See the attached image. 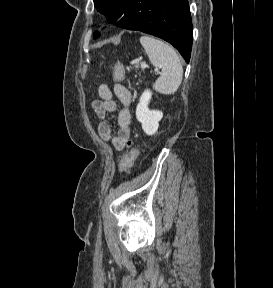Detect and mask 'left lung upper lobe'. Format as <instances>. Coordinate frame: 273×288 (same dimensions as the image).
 Wrapping results in <instances>:
<instances>
[{
  "label": "left lung upper lobe",
  "instance_id": "5c2ea615",
  "mask_svg": "<svg viewBox=\"0 0 273 288\" xmlns=\"http://www.w3.org/2000/svg\"><path fill=\"white\" fill-rule=\"evenodd\" d=\"M134 0H94V6L102 14L108 17L109 22L116 23L120 18L129 10L132 2ZM100 34L96 31L94 37L99 36Z\"/></svg>",
  "mask_w": 273,
  "mask_h": 288
}]
</instances>
